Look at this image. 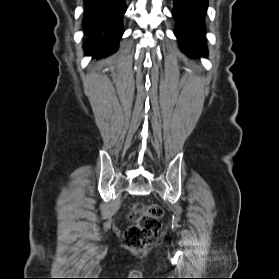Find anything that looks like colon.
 Masks as SVG:
<instances>
[{"label": "colon", "instance_id": "colon-1", "mask_svg": "<svg viewBox=\"0 0 279 279\" xmlns=\"http://www.w3.org/2000/svg\"><path fill=\"white\" fill-rule=\"evenodd\" d=\"M163 209L154 203L137 202L129 213L130 226L124 236V244L134 251H142L159 237Z\"/></svg>", "mask_w": 279, "mask_h": 279}]
</instances>
